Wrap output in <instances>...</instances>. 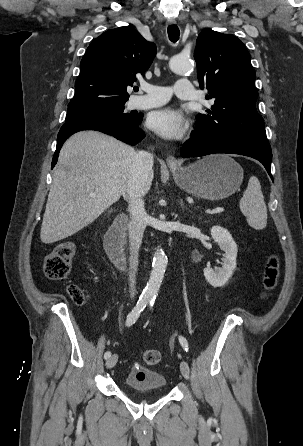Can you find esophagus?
Instances as JSON below:
<instances>
[{
  "mask_svg": "<svg viewBox=\"0 0 303 446\" xmlns=\"http://www.w3.org/2000/svg\"><path fill=\"white\" fill-rule=\"evenodd\" d=\"M167 24L168 25H175L176 24V20L175 19H168L167 20ZM166 162H167L168 166H170V167H177V166H179V161L172 155H168L167 156Z\"/></svg>",
  "mask_w": 303,
  "mask_h": 446,
  "instance_id": "34e87169",
  "label": "esophagus"
}]
</instances>
